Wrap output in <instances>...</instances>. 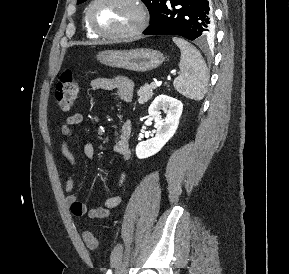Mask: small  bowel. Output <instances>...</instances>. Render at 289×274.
I'll list each match as a JSON object with an SVG mask.
<instances>
[{
  "label": "small bowel",
  "instance_id": "c3829d8e",
  "mask_svg": "<svg viewBox=\"0 0 289 274\" xmlns=\"http://www.w3.org/2000/svg\"><path fill=\"white\" fill-rule=\"evenodd\" d=\"M90 86L94 90H108L116 91L119 98L126 103L131 102L133 97V83L130 79L125 77L117 78H96L91 81ZM83 120V116L80 113H74L68 116L63 124L61 125V133L63 137L69 138L74 135V126L80 124ZM131 122L125 121L119 132V137L116 140L113 150L118 154L124 161H128L131 157V151L129 147V137L131 134ZM62 155L67 161L74 167L76 166V158L70 149L69 144L64 140L61 144ZM83 155L86 158H93L95 155V147L92 143L86 142L82 147ZM74 177L72 173L66 180L65 192H66V203L69 205L71 212L77 217L88 216L91 219H103L109 216L110 211L116 208L122 200L120 193L110 196L105 199L102 206L89 209L87 205L78 200L74 194ZM126 179V171L123 170L119 176L117 182V189H121Z\"/></svg>",
  "mask_w": 289,
  "mask_h": 274
}]
</instances>
